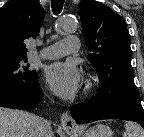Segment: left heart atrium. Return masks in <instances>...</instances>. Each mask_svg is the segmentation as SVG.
<instances>
[{"label": "left heart atrium", "mask_w": 144, "mask_h": 137, "mask_svg": "<svg viewBox=\"0 0 144 137\" xmlns=\"http://www.w3.org/2000/svg\"><path fill=\"white\" fill-rule=\"evenodd\" d=\"M46 77L53 92L63 99L73 98L81 86L80 71L71 61L50 65Z\"/></svg>", "instance_id": "1"}]
</instances>
